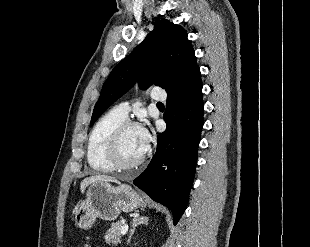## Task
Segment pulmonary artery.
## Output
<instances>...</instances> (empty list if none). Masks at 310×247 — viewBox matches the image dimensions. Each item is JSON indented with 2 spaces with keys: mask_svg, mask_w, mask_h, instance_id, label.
I'll use <instances>...</instances> for the list:
<instances>
[{
  "mask_svg": "<svg viewBox=\"0 0 310 247\" xmlns=\"http://www.w3.org/2000/svg\"><path fill=\"white\" fill-rule=\"evenodd\" d=\"M151 98L155 101H163L166 99V94L160 88H155L151 92ZM115 109L123 116L127 117L130 111L129 103L124 102L115 107Z\"/></svg>",
  "mask_w": 310,
  "mask_h": 247,
  "instance_id": "1",
  "label": "pulmonary artery"
}]
</instances>
